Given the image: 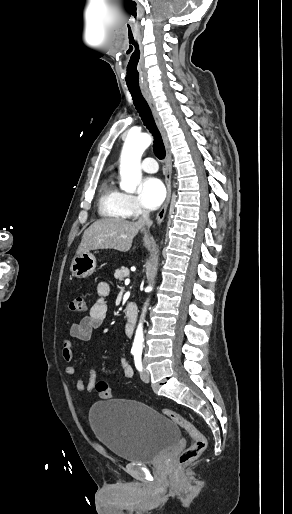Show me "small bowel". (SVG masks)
I'll return each instance as SVG.
<instances>
[{"instance_id": "c3829d8e", "label": "small bowel", "mask_w": 292, "mask_h": 514, "mask_svg": "<svg viewBox=\"0 0 292 514\" xmlns=\"http://www.w3.org/2000/svg\"><path fill=\"white\" fill-rule=\"evenodd\" d=\"M98 299L90 308L89 314L81 318L78 322L71 325L69 330V339L65 340L62 348V357L67 363L65 372L68 375L76 374L75 356L73 351V343L75 341H88L92 336V332L103 326L107 319L108 308L105 298L110 293V286L105 281H100L96 286ZM120 369L124 378L130 379L134 376V371L126 359L120 361ZM88 380L78 378L75 382L78 391L92 392L96 383V372L93 369L87 371Z\"/></svg>"}]
</instances>
